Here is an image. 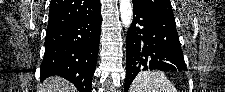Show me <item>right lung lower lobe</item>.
I'll list each match as a JSON object with an SVG mask.
<instances>
[{
	"label": "right lung lower lobe",
	"instance_id": "right-lung-lower-lobe-1",
	"mask_svg": "<svg viewBox=\"0 0 225 92\" xmlns=\"http://www.w3.org/2000/svg\"><path fill=\"white\" fill-rule=\"evenodd\" d=\"M101 12L60 28L47 30L41 80L53 75L91 92L101 33Z\"/></svg>",
	"mask_w": 225,
	"mask_h": 92
}]
</instances>
